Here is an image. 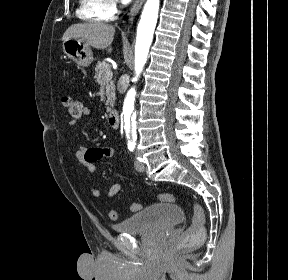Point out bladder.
Masks as SVG:
<instances>
[{"mask_svg": "<svg viewBox=\"0 0 288 280\" xmlns=\"http://www.w3.org/2000/svg\"><path fill=\"white\" fill-rule=\"evenodd\" d=\"M184 220L183 210L169 203L150 205L113 226L121 234L165 230Z\"/></svg>", "mask_w": 288, "mask_h": 280, "instance_id": "obj_1", "label": "bladder"}]
</instances>
